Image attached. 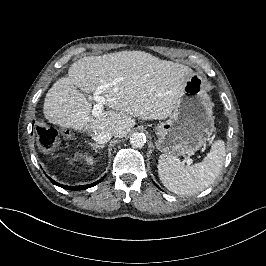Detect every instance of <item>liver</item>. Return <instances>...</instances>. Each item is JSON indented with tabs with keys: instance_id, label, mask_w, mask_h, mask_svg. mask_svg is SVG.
<instances>
[{
	"instance_id": "liver-1",
	"label": "liver",
	"mask_w": 266,
	"mask_h": 266,
	"mask_svg": "<svg viewBox=\"0 0 266 266\" xmlns=\"http://www.w3.org/2000/svg\"><path fill=\"white\" fill-rule=\"evenodd\" d=\"M193 71L188 66L161 60L144 51H119L102 56H85L72 64L68 77L60 78L46 94L43 113L52 124L75 130H107L125 137L142 120L166 119L183 95ZM115 81L101 92L109 108L91 115L92 102L83 93Z\"/></svg>"
}]
</instances>
